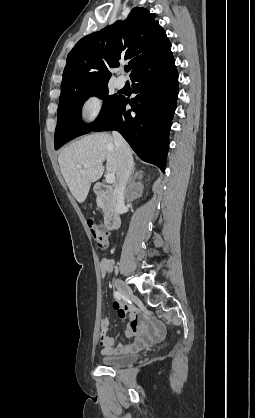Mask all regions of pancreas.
Listing matches in <instances>:
<instances>
[{"label": "pancreas", "mask_w": 255, "mask_h": 418, "mask_svg": "<svg viewBox=\"0 0 255 418\" xmlns=\"http://www.w3.org/2000/svg\"><path fill=\"white\" fill-rule=\"evenodd\" d=\"M97 205H98L99 208H102L104 210L105 202H104V199L102 197L97 198Z\"/></svg>", "instance_id": "cf45deb5"}]
</instances>
